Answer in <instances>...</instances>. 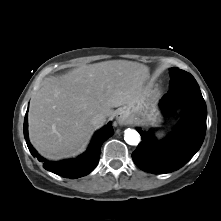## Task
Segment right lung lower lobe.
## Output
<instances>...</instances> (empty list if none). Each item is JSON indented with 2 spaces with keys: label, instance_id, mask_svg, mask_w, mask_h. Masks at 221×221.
<instances>
[{
  "label": "right lung lower lobe",
  "instance_id": "98d812e1",
  "mask_svg": "<svg viewBox=\"0 0 221 221\" xmlns=\"http://www.w3.org/2000/svg\"><path fill=\"white\" fill-rule=\"evenodd\" d=\"M114 134L111 123L99 130L93 137L88 150L75 159L64 161H49L35 151L28 140V113L26 112L24 119V137L30 153L33 157H37L39 161H43V167L57 175L75 179L89 174L97 165L100 157V147L102 143Z\"/></svg>",
  "mask_w": 221,
  "mask_h": 221
}]
</instances>
